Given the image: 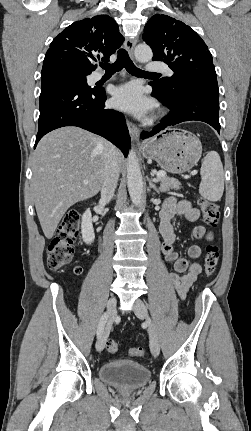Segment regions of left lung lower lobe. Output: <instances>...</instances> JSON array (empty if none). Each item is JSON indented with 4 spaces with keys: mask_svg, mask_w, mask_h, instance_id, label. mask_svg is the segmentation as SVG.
Wrapping results in <instances>:
<instances>
[{
    "mask_svg": "<svg viewBox=\"0 0 251 431\" xmlns=\"http://www.w3.org/2000/svg\"><path fill=\"white\" fill-rule=\"evenodd\" d=\"M152 96L162 101L170 112L157 128L150 132H142V139L154 136L168 126L191 120L206 122L220 132L218 86L209 84L190 86L182 89L179 95L171 99L163 97L153 87Z\"/></svg>",
    "mask_w": 251,
    "mask_h": 431,
    "instance_id": "1",
    "label": "left lung lower lobe"
}]
</instances>
